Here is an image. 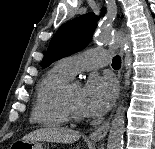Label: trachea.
<instances>
[{"label":"trachea","instance_id":"trachea-1","mask_svg":"<svg viewBox=\"0 0 155 149\" xmlns=\"http://www.w3.org/2000/svg\"><path fill=\"white\" fill-rule=\"evenodd\" d=\"M112 67L114 69H118V68L121 67V58H120V56L117 55V56H115L113 58V60H112Z\"/></svg>","mask_w":155,"mask_h":149}]
</instances>
